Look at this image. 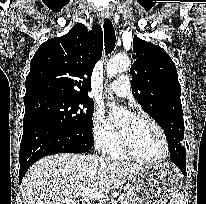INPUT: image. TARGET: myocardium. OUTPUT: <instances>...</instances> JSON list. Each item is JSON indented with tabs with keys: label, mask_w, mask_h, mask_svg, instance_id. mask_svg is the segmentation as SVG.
<instances>
[{
	"label": "myocardium",
	"mask_w": 206,
	"mask_h": 204,
	"mask_svg": "<svg viewBox=\"0 0 206 204\" xmlns=\"http://www.w3.org/2000/svg\"><path fill=\"white\" fill-rule=\"evenodd\" d=\"M130 116L135 118V119L145 120V121L149 122L159 132L160 136L162 137L165 150H164V153L162 156L155 158V159L143 157V156L137 154L130 147L125 136L118 129V141H119V145H120V148L123 151V153L131 159H134V160H137L140 162H144V163H148V164H158V163L164 162L170 156V153H171L170 142H169V139H168V136H167L165 130L162 128V126L156 120H154L151 116H149L145 113L134 112V113H131Z\"/></svg>",
	"instance_id": "1"
}]
</instances>
